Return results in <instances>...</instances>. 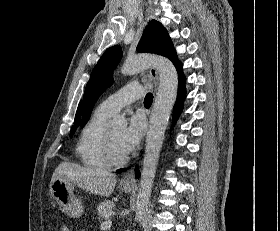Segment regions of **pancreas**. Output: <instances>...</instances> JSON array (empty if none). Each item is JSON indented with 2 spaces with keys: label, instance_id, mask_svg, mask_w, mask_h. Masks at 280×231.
<instances>
[{
  "label": "pancreas",
  "instance_id": "cf45deb5",
  "mask_svg": "<svg viewBox=\"0 0 280 231\" xmlns=\"http://www.w3.org/2000/svg\"><path fill=\"white\" fill-rule=\"evenodd\" d=\"M114 201H102L96 207L97 215L100 219H107L112 213V207H114Z\"/></svg>",
  "mask_w": 280,
  "mask_h": 231
}]
</instances>
